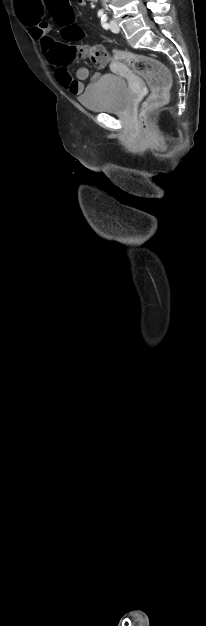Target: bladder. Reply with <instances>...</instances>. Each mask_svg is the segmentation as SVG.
Returning <instances> with one entry per match:
<instances>
[{
	"mask_svg": "<svg viewBox=\"0 0 206 626\" xmlns=\"http://www.w3.org/2000/svg\"><path fill=\"white\" fill-rule=\"evenodd\" d=\"M80 104L92 112L117 113L128 109L131 92L126 80L103 75L79 96Z\"/></svg>",
	"mask_w": 206,
	"mask_h": 626,
	"instance_id": "31cf9c89",
	"label": "bladder"
}]
</instances>
